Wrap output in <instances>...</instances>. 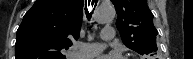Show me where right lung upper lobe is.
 Instances as JSON below:
<instances>
[{
  "mask_svg": "<svg viewBox=\"0 0 193 59\" xmlns=\"http://www.w3.org/2000/svg\"><path fill=\"white\" fill-rule=\"evenodd\" d=\"M84 0H37L17 30L15 59H66L78 39Z\"/></svg>",
  "mask_w": 193,
  "mask_h": 59,
  "instance_id": "1",
  "label": "right lung upper lobe"
}]
</instances>
